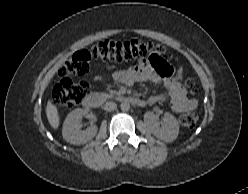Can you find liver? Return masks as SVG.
Returning <instances> with one entry per match:
<instances>
[{
  "instance_id": "6515ba94",
  "label": "liver",
  "mask_w": 248,
  "mask_h": 194,
  "mask_svg": "<svg viewBox=\"0 0 248 194\" xmlns=\"http://www.w3.org/2000/svg\"><path fill=\"white\" fill-rule=\"evenodd\" d=\"M46 116L53 129H58L60 125V117L57 107L52 103L51 100H48L46 106Z\"/></svg>"
}]
</instances>
